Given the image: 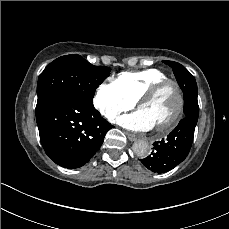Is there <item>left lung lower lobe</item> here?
Returning a JSON list of instances; mask_svg holds the SVG:
<instances>
[{"instance_id":"1","label":"left lung lower lobe","mask_w":229,"mask_h":229,"mask_svg":"<svg viewBox=\"0 0 229 229\" xmlns=\"http://www.w3.org/2000/svg\"><path fill=\"white\" fill-rule=\"evenodd\" d=\"M184 114L177 127L166 139L154 142V151L142 159L143 165L154 173L167 172L188 155L199 115L197 90L184 92Z\"/></svg>"}]
</instances>
